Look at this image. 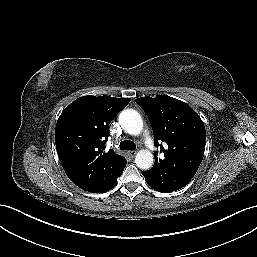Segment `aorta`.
Here are the masks:
<instances>
[{"label":"aorta","instance_id":"1","mask_svg":"<svg viewBox=\"0 0 257 257\" xmlns=\"http://www.w3.org/2000/svg\"><path fill=\"white\" fill-rule=\"evenodd\" d=\"M119 123L131 135H138L143 129V120L140 114L133 109L123 110L119 115ZM153 162V154L148 150H140L135 157L137 167L143 170L150 169Z\"/></svg>","mask_w":257,"mask_h":257}]
</instances>
